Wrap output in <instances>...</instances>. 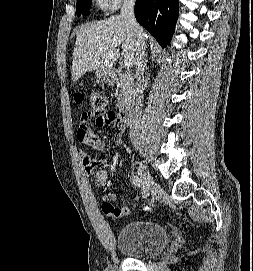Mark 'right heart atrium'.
<instances>
[{
    "label": "right heart atrium",
    "instance_id": "d8ad5b80",
    "mask_svg": "<svg viewBox=\"0 0 253 271\" xmlns=\"http://www.w3.org/2000/svg\"><path fill=\"white\" fill-rule=\"evenodd\" d=\"M100 7L106 11H114L120 7L124 1L128 0H97Z\"/></svg>",
    "mask_w": 253,
    "mask_h": 271
}]
</instances>
